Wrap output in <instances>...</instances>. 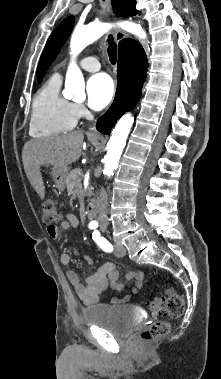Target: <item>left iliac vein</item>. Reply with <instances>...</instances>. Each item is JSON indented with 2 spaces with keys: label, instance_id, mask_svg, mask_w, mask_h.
<instances>
[{
  "label": "left iliac vein",
  "instance_id": "obj_1",
  "mask_svg": "<svg viewBox=\"0 0 221 379\" xmlns=\"http://www.w3.org/2000/svg\"><path fill=\"white\" fill-rule=\"evenodd\" d=\"M114 253L118 257H123L126 254V249L120 242H116L114 246Z\"/></svg>",
  "mask_w": 221,
  "mask_h": 379
}]
</instances>
